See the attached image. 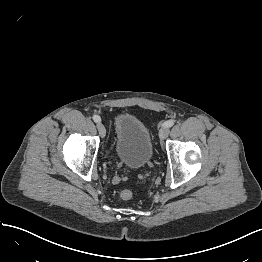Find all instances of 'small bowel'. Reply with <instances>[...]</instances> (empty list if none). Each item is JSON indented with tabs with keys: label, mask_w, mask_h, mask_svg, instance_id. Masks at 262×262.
<instances>
[{
	"label": "small bowel",
	"mask_w": 262,
	"mask_h": 262,
	"mask_svg": "<svg viewBox=\"0 0 262 262\" xmlns=\"http://www.w3.org/2000/svg\"><path fill=\"white\" fill-rule=\"evenodd\" d=\"M113 183H118V179H113Z\"/></svg>",
	"instance_id": "c3829d8e"
}]
</instances>
